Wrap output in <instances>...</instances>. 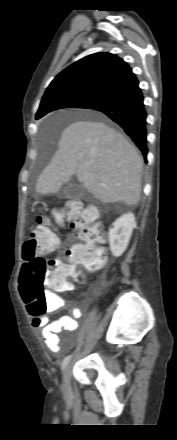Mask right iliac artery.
I'll return each mask as SVG.
<instances>
[{
	"mask_svg": "<svg viewBox=\"0 0 177 440\" xmlns=\"http://www.w3.org/2000/svg\"><path fill=\"white\" fill-rule=\"evenodd\" d=\"M71 359V355H68L67 357L64 358L63 362H62V370L67 366V364L69 363Z\"/></svg>",
	"mask_w": 177,
	"mask_h": 440,
	"instance_id": "82829eb1",
	"label": "right iliac artery"
}]
</instances>
